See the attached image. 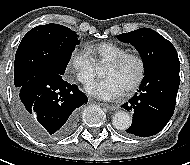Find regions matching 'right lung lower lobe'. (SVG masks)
Returning a JSON list of instances; mask_svg holds the SVG:
<instances>
[{"label":"right lung lower lobe","instance_id":"right-lung-lower-lobe-1","mask_svg":"<svg viewBox=\"0 0 190 165\" xmlns=\"http://www.w3.org/2000/svg\"><path fill=\"white\" fill-rule=\"evenodd\" d=\"M87 102V96L61 74L47 73L19 88L15 106L24 127L37 139L50 141L73 132L79 107Z\"/></svg>","mask_w":190,"mask_h":165}]
</instances>
